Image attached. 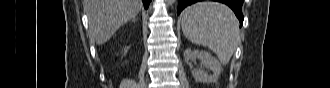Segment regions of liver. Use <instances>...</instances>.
<instances>
[{
    "label": "liver",
    "mask_w": 330,
    "mask_h": 88,
    "mask_svg": "<svg viewBox=\"0 0 330 88\" xmlns=\"http://www.w3.org/2000/svg\"><path fill=\"white\" fill-rule=\"evenodd\" d=\"M88 15L90 39L98 45L106 43L142 8L141 0H84Z\"/></svg>",
    "instance_id": "obj_1"
}]
</instances>
